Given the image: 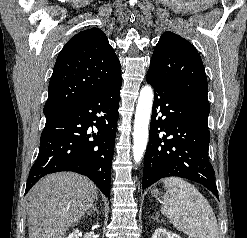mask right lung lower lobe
<instances>
[{
  "label": "right lung lower lobe",
  "mask_w": 247,
  "mask_h": 238,
  "mask_svg": "<svg viewBox=\"0 0 247 238\" xmlns=\"http://www.w3.org/2000/svg\"><path fill=\"white\" fill-rule=\"evenodd\" d=\"M121 84L122 78H119L81 103L46 120L39 155L30 170L25 194L49 173L73 171L89 177L110 198Z\"/></svg>",
  "instance_id": "obj_1"
}]
</instances>
